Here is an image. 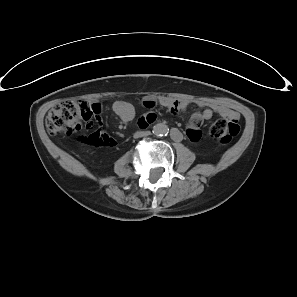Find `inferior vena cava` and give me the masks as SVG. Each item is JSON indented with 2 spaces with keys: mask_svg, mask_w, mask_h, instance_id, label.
Segmentation results:
<instances>
[{
  "mask_svg": "<svg viewBox=\"0 0 297 297\" xmlns=\"http://www.w3.org/2000/svg\"><path fill=\"white\" fill-rule=\"evenodd\" d=\"M150 132L149 131H138L134 134V137L135 138H140V137H143V136H147L149 135Z\"/></svg>",
  "mask_w": 297,
  "mask_h": 297,
  "instance_id": "602c4592",
  "label": "inferior vena cava"
}]
</instances>
